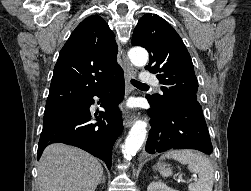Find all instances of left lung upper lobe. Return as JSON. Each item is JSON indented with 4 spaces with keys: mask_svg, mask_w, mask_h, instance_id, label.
I'll list each match as a JSON object with an SVG mask.
<instances>
[{
    "mask_svg": "<svg viewBox=\"0 0 251 191\" xmlns=\"http://www.w3.org/2000/svg\"><path fill=\"white\" fill-rule=\"evenodd\" d=\"M132 45L146 48L150 55L145 68L158 73L162 95L147 96L160 108L182 101H198V82L190 54L173 27L156 14L147 13L139 20Z\"/></svg>",
    "mask_w": 251,
    "mask_h": 191,
    "instance_id": "5c2ea615",
    "label": "left lung upper lobe"
}]
</instances>
